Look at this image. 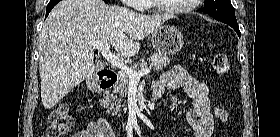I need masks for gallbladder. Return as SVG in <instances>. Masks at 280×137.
Here are the masks:
<instances>
[{
    "instance_id": "obj_1",
    "label": "gallbladder",
    "mask_w": 280,
    "mask_h": 137,
    "mask_svg": "<svg viewBox=\"0 0 280 137\" xmlns=\"http://www.w3.org/2000/svg\"><path fill=\"white\" fill-rule=\"evenodd\" d=\"M104 67L103 63H101L100 61H96L95 62V70H101Z\"/></svg>"
}]
</instances>
